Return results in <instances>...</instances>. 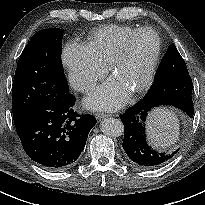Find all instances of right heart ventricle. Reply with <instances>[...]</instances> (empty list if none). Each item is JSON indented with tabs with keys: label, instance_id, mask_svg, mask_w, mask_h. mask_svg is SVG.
<instances>
[{
	"label": "right heart ventricle",
	"instance_id": "obj_1",
	"mask_svg": "<svg viewBox=\"0 0 205 205\" xmlns=\"http://www.w3.org/2000/svg\"><path fill=\"white\" fill-rule=\"evenodd\" d=\"M139 28L131 26L108 25L96 30L90 37L88 48L94 57L108 66L120 49L124 39Z\"/></svg>",
	"mask_w": 205,
	"mask_h": 205
}]
</instances>
